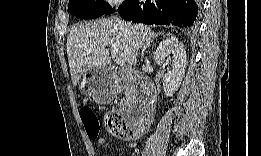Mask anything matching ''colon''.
<instances>
[{"label":"colon","instance_id":"colon-1","mask_svg":"<svg viewBox=\"0 0 261 156\" xmlns=\"http://www.w3.org/2000/svg\"><path fill=\"white\" fill-rule=\"evenodd\" d=\"M80 117L89 138L96 139L100 132V124L94 112L88 107L83 108ZM105 126L112 135L121 138L140 137L147 128L146 122L131 125L124 115L117 111H111L106 115Z\"/></svg>","mask_w":261,"mask_h":156}]
</instances>
